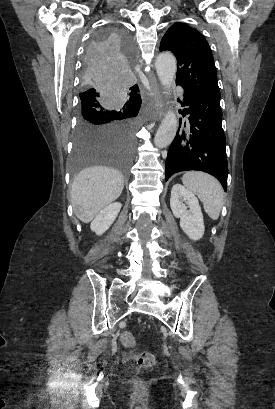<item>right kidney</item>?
I'll use <instances>...</instances> for the list:
<instances>
[{
	"label": "right kidney",
	"instance_id": "ca27d5eb",
	"mask_svg": "<svg viewBox=\"0 0 275 409\" xmlns=\"http://www.w3.org/2000/svg\"><path fill=\"white\" fill-rule=\"evenodd\" d=\"M121 207V202H112V205L105 207L103 211L98 213L94 221H92L90 225L91 231H94L96 235H103V233L111 227L112 223H114Z\"/></svg>",
	"mask_w": 275,
	"mask_h": 409
}]
</instances>
